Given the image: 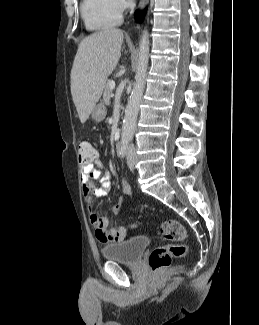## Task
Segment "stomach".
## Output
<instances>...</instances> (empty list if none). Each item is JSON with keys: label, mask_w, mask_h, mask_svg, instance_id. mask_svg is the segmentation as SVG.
<instances>
[{"label": "stomach", "mask_w": 259, "mask_h": 325, "mask_svg": "<svg viewBox=\"0 0 259 325\" xmlns=\"http://www.w3.org/2000/svg\"><path fill=\"white\" fill-rule=\"evenodd\" d=\"M106 108L102 103L95 105L91 112L92 119L96 122H100L105 118Z\"/></svg>", "instance_id": "stomach-1"}]
</instances>
